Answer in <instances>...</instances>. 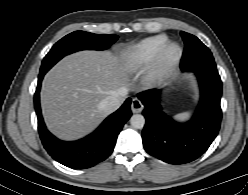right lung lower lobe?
<instances>
[{
  "label": "right lung lower lobe",
  "instance_id": "1",
  "mask_svg": "<svg viewBox=\"0 0 248 195\" xmlns=\"http://www.w3.org/2000/svg\"><path fill=\"white\" fill-rule=\"evenodd\" d=\"M45 73L39 74L34 103L38 117V131L46 151L53 159L73 169L90 168L108 158L114 149L118 134L131 116V99L128 98L90 135L77 141H61L47 130L41 115L39 93Z\"/></svg>",
  "mask_w": 248,
  "mask_h": 195
}]
</instances>
